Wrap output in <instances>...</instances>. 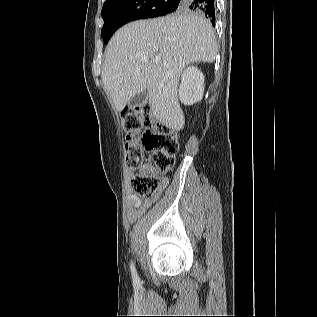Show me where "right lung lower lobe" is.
Masks as SVG:
<instances>
[{"label": "right lung lower lobe", "mask_w": 317, "mask_h": 317, "mask_svg": "<svg viewBox=\"0 0 317 317\" xmlns=\"http://www.w3.org/2000/svg\"><path fill=\"white\" fill-rule=\"evenodd\" d=\"M215 0H174L172 5L181 11H194L203 13L211 18V22L215 25Z\"/></svg>", "instance_id": "right-lung-lower-lobe-1"}]
</instances>
